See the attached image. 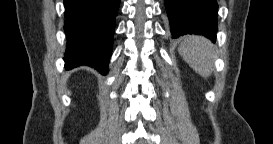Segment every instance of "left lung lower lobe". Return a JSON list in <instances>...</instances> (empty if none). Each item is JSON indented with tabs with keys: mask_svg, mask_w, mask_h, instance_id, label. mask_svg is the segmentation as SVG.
Returning <instances> with one entry per match:
<instances>
[{
	"mask_svg": "<svg viewBox=\"0 0 273 144\" xmlns=\"http://www.w3.org/2000/svg\"><path fill=\"white\" fill-rule=\"evenodd\" d=\"M173 38L200 34L216 39L218 4L216 0H164Z\"/></svg>",
	"mask_w": 273,
	"mask_h": 144,
	"instance_id": "1",
	"label": "left lung lower lobe"
}]
</instances>
